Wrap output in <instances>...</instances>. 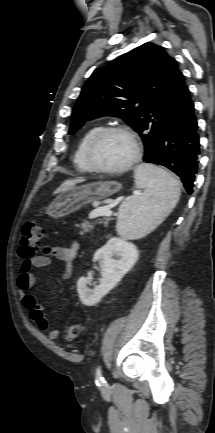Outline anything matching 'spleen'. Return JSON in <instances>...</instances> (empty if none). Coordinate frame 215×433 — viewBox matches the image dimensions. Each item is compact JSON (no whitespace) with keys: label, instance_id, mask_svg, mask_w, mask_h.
<instances>
[{"label":"spleen","instance_id":"obj_1","mask_svg":"<svg viewBox=\"0 0 215 433\" xmlns=\"http://www.w3.org/2000/svg\"><path fill=\"white\" fill-rule=\"evenodd\" d=\"M134 179L136 187L145 190L122 202L116 225L117 233L127 239L142 238L153 231L180 198L178 181L160 167L141 164L134 171Z\"/></svg>","mask_w":215,"mask_h":433}]
</instances>
